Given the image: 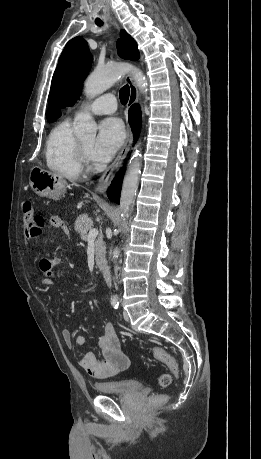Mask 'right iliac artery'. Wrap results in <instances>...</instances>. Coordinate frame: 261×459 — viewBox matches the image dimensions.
<instances>
[{
    "instance_id": "1",
    "label": "right iliac artery",
    "mask_w": 261,
    "mask_h": 459,
    "mask_svg": "<svg viewBox=\"0 0 261 459\" xmlns=\"http://www.w3.org/2000/svg\"><path fill=\"white\" fill-rule=\"evenodd\" d=\"M111 305L113 306L114 309H117L119 307V300L112 299L111 300Z\"/></svg>"
}]
</instances>
